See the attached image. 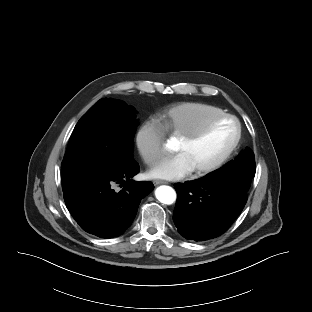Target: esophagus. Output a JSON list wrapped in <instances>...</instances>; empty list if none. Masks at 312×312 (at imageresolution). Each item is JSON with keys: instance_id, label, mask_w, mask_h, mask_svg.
Listing matches in <instances>:
<instances>
[{"instance_id": "obj_1", "label": "esophagus", "mask_w": 312, "mask_h": 312, "mask_svg": "<svg viewBox=\"0 0 312 312\" xmlns=\"http://www.w3.org/2000/svg\"><path fill=\"white\" fill-rule=\"evenodd\" d=\"M153 183H154V185L168 184V182L162 181V180H155V181H153Z\"/></svg>"}]
</instances>
